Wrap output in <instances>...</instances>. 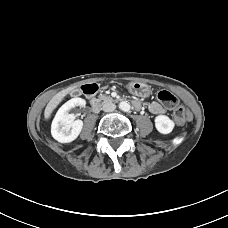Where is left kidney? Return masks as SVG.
Here are the masks:
<instances>
[{"label": "left kidney", "instance_id": "obj_1", "mask_svg": "<svg viewBox=\"0 0 228 228\" xmlns=\"http://www.w3.org/2000/svg\"><path fill=\"white\" fill-rule=\"evenodd\" d=\"M174 126V122L166 115H159L155 118V127L161 134L171 133Z\"/></svg>", "mask_w": 228, "mask_h": 228}]
</instances>
